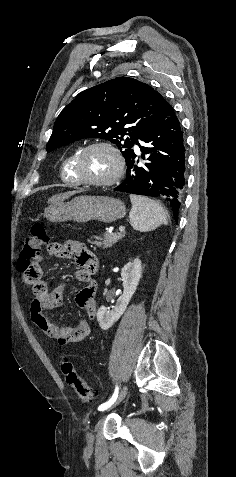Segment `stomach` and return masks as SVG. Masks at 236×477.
Listing matches in <instances>:
<instances>
[{
    "mask_svg": "<svg viewBox=\"0 0 236 477\" xmlns=\"http://www.w3.org/2000/svg\"><path fill=\"white\" fill-rule=\"evenodd\" d=\"M126 214L124 203L106 196L82 195L69 202L51 204L44 210V216L51 222L73 220L85 223L97 220L112 223Z\"/></svg>",
    "mask_w": 236,
    "mask_h": 477,
    "instance_id": "obj_1",
    "label": "stomach"
}]
</instances>
